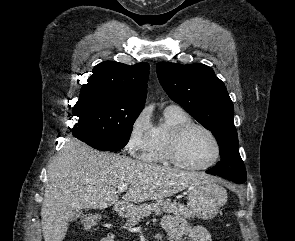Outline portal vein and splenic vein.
<instances>
[{
	"label": "portal vein and splenic vein",
	"mask_w": 295,
	"mask_h": 241,
	"mask_svg": "<svg viewBox=\"0 0 295 241\" xmlns=\"http://www.w3.org/2000/svg\"><path fill=\"white\" fill-rule=\"evenodd\" d=\"M127 188H128V185L118 186V192L123 193L127 190Z\"/></svg>",
	"instance_id": "18ae733b"
}]
</instances>
